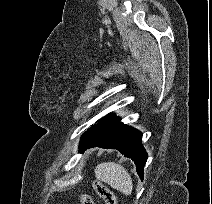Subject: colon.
<instances>
[{
	"instance_id": "colon-1",
	"label": "colon",
	"mask_w": 212,
	"mask_h": 204,
	"mask_svg": "<svg viewBox=\"0 0 212 204\" xmlns=\"http://www.w3.org/2000/svg\"><path fill=\"white\" fill-rule=\"evenodd\" d=\"M94 191L101 197L105 204H117L114 193L101 181L95 179L92 183ZM80 204H94L92 197L87 193L80 195Z\"/></svg>"
}]
</instances>
